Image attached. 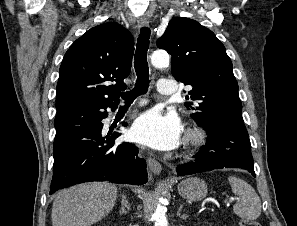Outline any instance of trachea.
Wrapping results in <instances>:
<instances>
[{"label": "trachea", "instance_id": "trachea-1", "mask_svg": "<svg viewBox=\"0 0 297 226\" xmlns=\"http://www.w3.org/2000/svg\"><path fill=\"white\" fill-rule=\"evenodd\" d=\"M150 29L142 27L137 40L134 56V68L137 75L135 87L131 91L122 92L121 98L126 104H131L136 97L145 94L149 87V67L147 62V51L149 47Z\"/></svg>", "mask_w": 297, "mask_h": 226}]
</instances>
